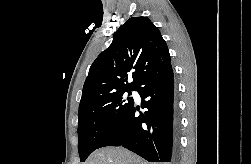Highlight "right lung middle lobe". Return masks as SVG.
Segmentation results:
<instances>
[{"label": "right lung middle lobe", "instance_id": "1", "mask_svg": "<svg viewBox=\"0 0 251 164\" xmlns=\"http://www.w3.org/2000/svg\"><path fill=\"white\" fill-rule=\"evenodd\" d=\"M124 90L101 96L79 108L78 151L81 162L98 148L101 141L122 120L134 105L132 97Z\"/></svg>", "mask_w": 251, "mask_h": 164}]
</instances>
